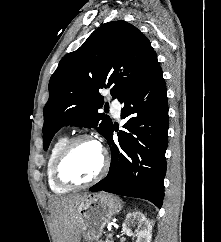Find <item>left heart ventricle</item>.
<instances>
[{
	"label": "left heart ventricle",
	"mask_w": 221,
	"mask_h": 242,
	"mask_svg": "<svg viewBox=\"0 0 221 242\" xmlns=\"http://www.w3.org/2000/svg\"><path fill=\"white\" fill-rule=\"evenodd\" d=\"M101 165V152L90 141L77 143L62 165V175L72 181H85L93 177Z\"/></svg>",
	"instance_id": "left-heart-ventricle-1"
}]
</instances>
